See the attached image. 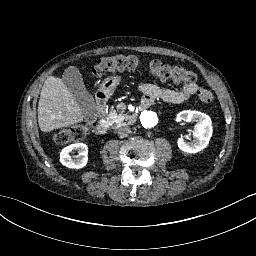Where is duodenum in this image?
<instances>
[{
  "label": "duodenum",
  "instance_id": "duodenum-1",
  "mask_svg": "<svg viewBox=\"0 0 256 256\" xmlns=\"http://www.w3.org/2000/svg\"><path fill=\"white\" fill-rule=\"evenodd\" d=\"M118 78L115 75H108L105 81L99 84L97 89V108L99 109V120L95 126V132L97 135L104 136L109 129L107 120V110L110 108L111 92L113 88L118 85ZM138 105L140 108L145 109L148 107L149 102L147 99L142 98L139 100Z\"/></svg>",
  "mask_w": 256,
  "mask_h": 256
}]
</instances>
